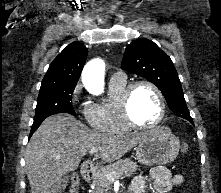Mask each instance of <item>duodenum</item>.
<instances>
[{
  "instance_id": "410a0bca",
  "label": "duodenum",
  "mask_w": 221,
  "mask_h": 193,
  "mask_svg": "<svg viewBox=\"0 0 221 193\" xmlns=\"http://www.w3.org/2000/svg\"><path fill=\"white\" fill-rule=\"evenodd\" d=\"M80 173L83 179L89 180L94 174V169L91 163H84L80 168Z\"/></svg>"
}]
</instances>
